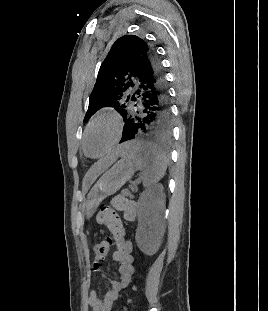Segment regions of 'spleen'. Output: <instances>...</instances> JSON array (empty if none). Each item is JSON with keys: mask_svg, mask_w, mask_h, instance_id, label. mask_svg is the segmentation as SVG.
<instances>
[{"mask_svg": "<svg viewBox=\"0 0 268 311\" xmlns=\"http://www.w3.org/2000/svg\"><path fill=\"white\" fill-rule=\"evenodd\" d=\"M123 156L130 158L136 170L143 173V186L148 188L165 175L168 160L166 156L147 140H123Z\"/></svg>", "mask_w": 268, "mask_h": 311, "instance_id": "obj_1", "label": "spleen"}]
</instances>
